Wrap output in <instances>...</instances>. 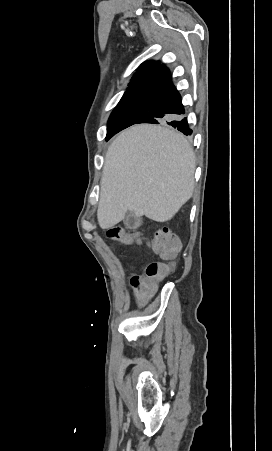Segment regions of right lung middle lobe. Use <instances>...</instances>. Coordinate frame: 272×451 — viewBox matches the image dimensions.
<instances>
[{
  "label": "right lung middle lobe",
  "instance_id": "1",
  "mask_svg": "<svg viewBox=\"0 0 272 451\" xmlns=\"http://www.w3.org/2000/svg\"><path fill=\"white\" fill-rule=\"evenodd\" d=\"M151 99L137 98L120 101L109 118L106 140L141 119L148 112Z\"/></svg>",
  "mask_w": 272,
  "mask_h": 451
}]
</instances>
